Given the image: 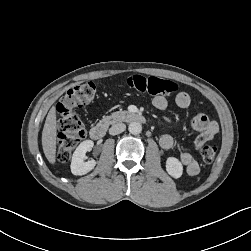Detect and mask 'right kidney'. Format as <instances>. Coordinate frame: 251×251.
<instances>
[{
  "instance_id": "obj_1",
  "label": "right kidney",
  "mask_w": 251,
  "mask_h": 251,
  "mask_svg": "<svg viewBox=\"0 0 251 251\" xmlns=\"http://www.w3.org/2000/svg\"><path fill=\"white\" fill-rule=\"evenodd\" d=\"M93 145L94 143L92 140H85L76 148L72 155L70 166L72 174L81 176L94 169L96 165L95 160L92 159L90 161L84 162L86 159V152L92 150Z\"/></svg>"
}]
</instances>
